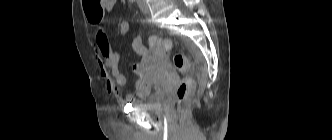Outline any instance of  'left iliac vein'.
<instances>
[{"instance_id": "left-iliac-vein-1", "label": "left iliac vein", "mask_w": 332, "mask_h": 140, "mask_svg": "<svg viewBox=\"0 0 332 140\" xmlns=\"http://www.w3.org/2000/svg\"><path fill=\"white\" fill-rule=\"evenodd\" d=\"M138 5L143 13L145 14L149 13V7L145 0H138Z\"/></svg>"}]
</instances>
